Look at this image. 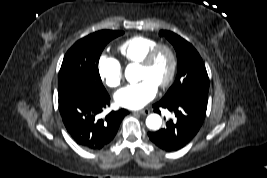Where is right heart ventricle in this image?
<instances>
[{
  "instance_id": "right-heart-ventricle-1",
  "label": "right heart ventricle",
  "mask_w": 267,
  "mask_h": 178,
  "mask_svg": "<svg viewBox=\"0 0 267 178\" xmlns=\"http://www.w3.org/2000/svg\"><path fill=\"white\" fill-rule=\"evenodd\" d=\"M159 41L144 35H135L123 41L118 52L128 63H139Z\"/></svg>"
}]
</instances>
